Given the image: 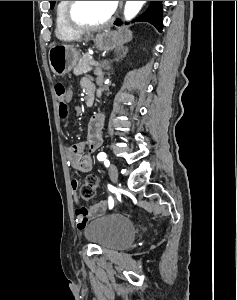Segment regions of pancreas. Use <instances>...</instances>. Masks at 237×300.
<instances>
[{"label":"pancreas","mask_w":237,"mask_h":300,"mask_svg":"<svg viewBox=\"0 0 237 300\" xmlns=\"http://www.w3.org/2000/svg\"><path fill=\"white\" fill-rule=\"evenodd\" d=\"M92 61L93 59L92 57H90V55H82L77 65H75V69H74L75 75H84V73H88V71H91L92 65L89 63H91Z\"/></svg>","instance_id":"pancreas-1"}]
</instances>
